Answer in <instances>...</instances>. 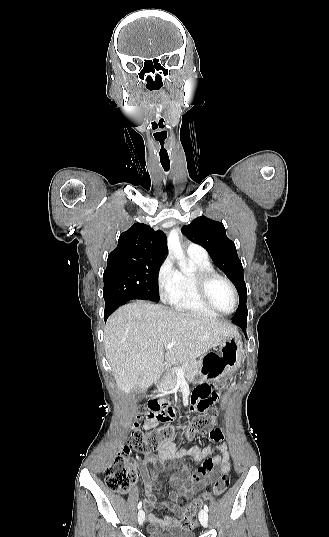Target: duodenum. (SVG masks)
Masks as SVG:
<instances>
[{"instance_id": "1", "label": "duodenum", "mask_w": 329, "mask_h": 537, "mask_svg": "<svg viewBox=\"0 0 329 537\" xmlns=\"http://www.w3.org/2000/svg\"><path fill=\"white\" fill-rule=\"evenodd\" d=\"M149 408L154 414L158 415V413H160V408H165L166 412V408H170V404L164 399L153 398L149 403Z\"/></svg>"}]
</instances>
